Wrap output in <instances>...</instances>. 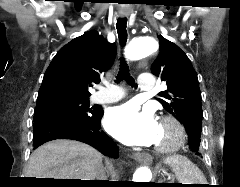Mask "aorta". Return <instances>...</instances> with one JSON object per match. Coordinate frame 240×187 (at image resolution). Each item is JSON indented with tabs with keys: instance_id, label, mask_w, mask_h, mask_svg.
<instances>
[{
	"instance_id": "obj_1",
	"label": "aorta",
	"mask_w": 240,
	"mask_h": 187,
	"mask_svg": "<svg viewBox=\"0 0 240 187\" xmlns=\"http://www.w3.org/2000/svg\"><path fill=\"white\" fill-rule=\"evenodd\" d=\"M158 49L156 40L152 37L144 36L134 38L127 50L126 56L130 60H139L155 53ZM152 173L147 167L138 168L133 174V182H150Z\"/></svg>"
}]
</instances>
